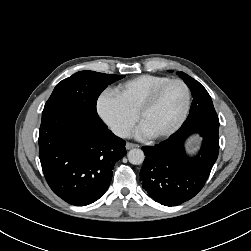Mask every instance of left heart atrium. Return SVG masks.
<instances>
[{
	"instance_id": "39dd6f15",
	"label": "left heart atrium",
	"mask_w": 251,
	"mask_h": 251,
	"mask_svg": "<svg viewBox=\"0 0 251 251\" xmlns=\"http://www.w3.org/2000/svg\"><path fill=\"white\" fill-rule=\"evenodd\" d=\"M136 136L139 138H148L151 135L149 132L140 124V126L136 130Z\"/></svg>"
}]
</instances>
